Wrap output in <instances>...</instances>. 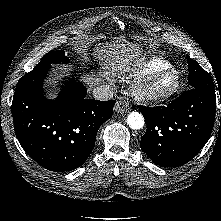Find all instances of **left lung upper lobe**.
Returning <instances> with one entry per match:
<instances>
[{
    "instance_id": "1",
    "label": "left lung upper lobe",
    "mask_w": 221,
    "mask_h": 221,
    "mask_svg": "<svg viewBox=\"0 0 221 221\" xmlns=\"http://www.w3.org/2000/svg\"><path fill=\"white\" fill-rule=\"evenodd\" d=\"M188 60V83L191 88H201L215 94L214 83L211 75L206 72L196 61L187 56Z\"/></svg>"
}]
</instances>
